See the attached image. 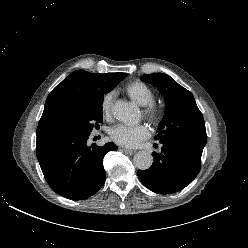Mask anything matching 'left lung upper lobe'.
Segmentation results:
<instances>
[{
  "label": "left lung upper lobe",
  "instance_id": "1",
  "mask_svg": "<svg viewBox=\"0 0 248 248\" xmlns=\"http://www.w3.org/2000/svg\"><path fill=\"white\" fill-rule=\"evenodd\" d=\"M141 80L157 87L166 103L155 140L180 143L202 154L207 142L205 122L192 93L167 74H144Z\"/></svg>",
  "mask_w": 248,
  "mask_h": 248
}]
</instances>
